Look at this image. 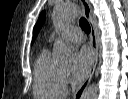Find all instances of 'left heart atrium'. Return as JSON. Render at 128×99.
Instances as JSON below:
<instances>
[{
  "mask_svg": "<svg viewBox=\"0 0 128 99\" xmlns=\"http://www.w3.org/2000/svg\"><path fill=\"white\" fill-rule=\"evenodd\" d=\"M92 63V55L88 48H81L74 54L72 77L80 81L88 74Z\"/></svg>",
  "mask_w": 128,
  "mask_h": 99,
  "instance_id": "obj_1",
  "label": "left heart atrium"
}]
</instances>
